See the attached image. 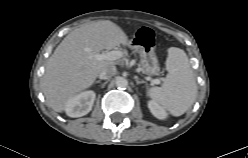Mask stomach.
<instances>
[{"label": "stomach", "mask_w": 248, "mask_h": 158, "mask_svg": "<svg viewBox=\"0 0 248 158\" xmlns=\"http://www.w3.org/2000/svg\"><path fill=\"white\" fill-rule=\"evenodd\" d=\"M141 65L143 72L147 75H156L159 70L157 57L153 50L146 51L145 48L140 50Z\"/></svg>", "instance_id": "1"}]
</instances>
